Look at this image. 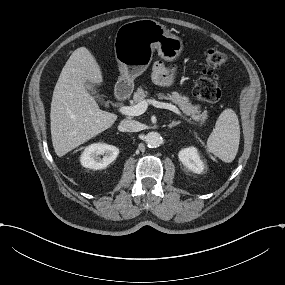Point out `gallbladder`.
I'll use <instances>...</instances> for the list:
<instances>
[{
    "label": "gallbladder",
    "mask_w": 285,
    "mask_h": 285,
    "mask_svg": "<svg viewBox=\"0 0 285 285\" xmlns=\"http://www.w3.org/2000/svg\"><path fill=\"white\" fill-rule=\"evenodd\" d=\"M85 85H89L90 89H88L89 94H91L94 99L101 104H104L106 107L109 106L108 102H105L104 99L102 98V95H100L98 92L99 90L97 89V86L89 81L85 83Z\"/></svg>",
    "instance_id": "bac80fb5"
}]
</instances>
